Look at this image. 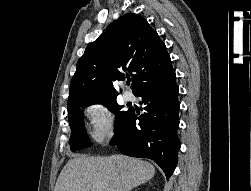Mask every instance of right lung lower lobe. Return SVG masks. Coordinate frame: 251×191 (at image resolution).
<instances>
[{
  "mask_svg": "<svg viewBox=\"0 0 251 191\" xmlns=\"http://www.w3.org/2000/svg\"><path fill=\"white\" fill-rule=\"evenodd\" d=\"M175 72L163 81L141 88L136 96L142 97L147 111L138 119L132 109L126 121L115 131L110 141L121 153L133 157L150 158L165 172L167 179L177 165L180 140L179 101Z\"/></svg>",
  "mask_w": 251,
  "mask_h": 191,
  "instance_id": "98d812e1",
  "label": "right lung lower lobe"
}]
</instances>
